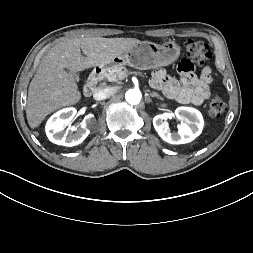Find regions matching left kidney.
<instances>
[{
	"label": "left kidney",
	"instance_id": "left-kidney-1",
	"mask_svg": "<svg viewBox=\"0 0 253 253\" xmlns=\"http://www.w3.org/2000/svg\"><path fill=\"white\" fill-rule=\"evenodd\" d=\"M172 116V113L165 112L153 118V126L164 141L170 144H184L191 142L201 134L204 121L197 109L182 106L175 110V116L182 121L177 133H171L166 122Z\"/></svg>",
	"mask_w": 253,
	"mask_h": 253
}]
</instances>
